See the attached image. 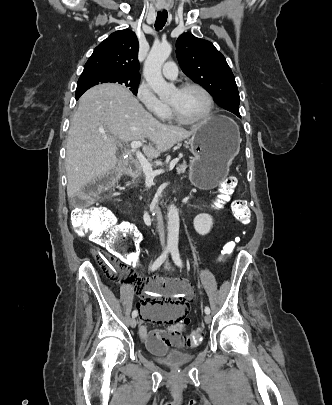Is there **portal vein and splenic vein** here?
Here are the masks:
<instances>
[{
  "instance_id": "obj_1",
  "label": "portal vein and splenic vein",
  "mask_w": 332,
  "mask_h": 405,
  "mask_svg": "<svg viewBox=\"0 0 332 405\" xmlns=\"http://www.w3.org/2000/svg\"><path fill=\"white\" fill-rule=\"evenodd\" d=\"M143 144V141H132L130 143V147L132 149V151L136 152V157L143 169V172L146 176V179L149 180H153L155 176H158L162 173H164L163 169H158V170H153L152 169V165L148 162V160L143 156V154L138 150L139 147H141ZM178 162V159L173 160L170 165L169 168L172 169Z\"/></svg>"
}]
</instances>
